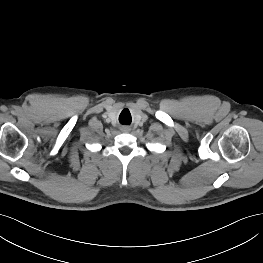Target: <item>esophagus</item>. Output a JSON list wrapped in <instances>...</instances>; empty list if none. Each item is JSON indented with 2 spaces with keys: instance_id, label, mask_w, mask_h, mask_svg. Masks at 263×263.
Returning a JSON list of instances; mask_svg holds the SVG:
<instances>
[{
  "instance_id": "1",
  "label": "esophagus",
  "mask_w": 263,
  "mask_h": 263,
  "mask_svg": "<svg viewBox=\"0 0 263 263\" xmlns=\"http://www.w3.org/2000/svg\"><path fill=\"white\" fill-rule=\"evenodd\" d=\"M121 131H122V132H128V131H129V129H128V128H126V127H123V128H121Z\"/></svg>"
}]
</instances>
